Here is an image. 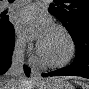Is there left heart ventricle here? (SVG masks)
<instances>
[{"label":"left heart ventricle","instance_id":"b2bd125f","mask_svg":"<svg viewBox=\"0 0 89 89\" xmlns=\"http://www.w3.org/2000/svg\"><path fill=\"white\" fill-rule=\"evenodd\" d=\"M44 55L51 61H60L68 54V42L65 36L53 28L48 37L41 42Z\"/></svg>","mask_w":89,"mask_h":89}]
</instances>
